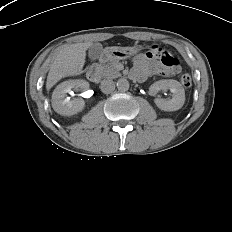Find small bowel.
Returning <instances> with one entry per match:
<instances>
[{
    "label": "small bowel",
    "instance_id": "c3829d8e",
    "mask_svg": "<svg viewBox=\"0 0 232 232\" xmlns=\"http://www.w3.org/2000/svg\"><path fill=\"white\" fill-rule=\"evenodd\" d=\"M153 74H156L160 78H165L168 75V70L162 65L155 67V64L146 55L137 56L134 60L132 76L140 80H145Z\"/></svg>",
    "mask_w": 232,
    "mask_h": 232
}]
</instances>
